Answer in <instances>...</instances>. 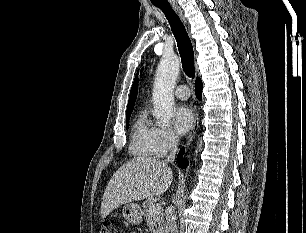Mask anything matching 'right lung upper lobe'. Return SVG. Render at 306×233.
Wrapping results in <instances>:
<instances>
[{"label":"right lung upper lobe","instance_id":"1","mask_svg":"<svg viewBox=\"0 0 306 233\" xmlns=\"http://www.w3.org/2000/svg\"><path fill=\"white\" fill-rule=\"evenodd\" d=\"M137 84H138V78L136 76L134 83L132 85L131 91H130V97H129V101H128V105H127V111H126V115L131 114L133 107L135 105V100L137 97Z\"/></svg>","mask_w":306,"mask_h":233}]
</instances>
